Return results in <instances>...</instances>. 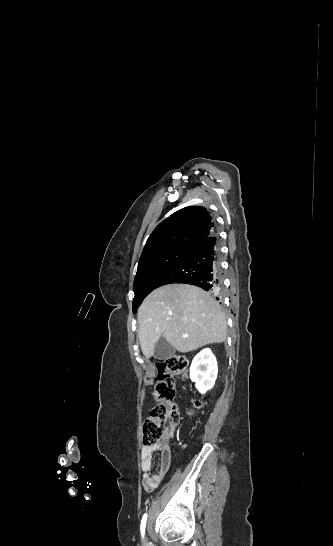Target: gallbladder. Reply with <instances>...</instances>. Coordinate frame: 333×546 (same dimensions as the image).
Listing matches in <instances>:
<instances>
[{
  "instance_id": "obj_1",
  "label": "gallbladder",
  "mask_w": 333,
  "mask_h": 546,
  "mask_svg": "<svg viewBox=\"0 0 333 546\" xmlns=\"http://www.w3.org/2000/svg\"><path fill=\"white\" fill-rule=\"evenodd\" d=\"M176 349L171 346L164 338H161L155 345L153 357L157 360H164L172 357Z\"/></svg>"
}]
</instances>
